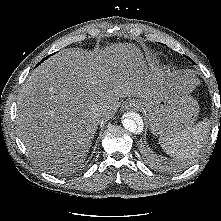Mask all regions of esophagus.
Masks as SVG:
<instances>
[{
    "instance_id": "esophagus-1",
    "label": "esophagus",
    "mask_w": 221,
    "mask_h": 221,
    "mask_svg": "<svg viewBox=\"0 0 221 221\" xmlns=\"http://www.w3.org/2000/svg\"><path fill=\"white\" fill-rule=\"evenodd\" d=\"M135 107H136V103L133 100H130L122 104L121 110L122 111L133 110Z\"/></svg>"
}]
</instances>
